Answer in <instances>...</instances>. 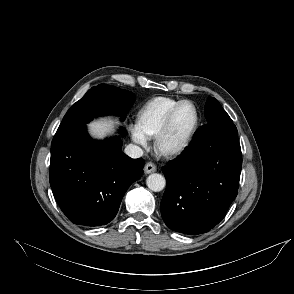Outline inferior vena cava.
<instances>
[{"mask_svg":"<svg viewBox=\"0 0 294 294\" xmlns=\"http://www.w3.org/2000/svg\"><path fill=\"white\" fill-rule=\"evenodd\" d=\"M124 152L131 158H140L143 155V150L134 144L127 145Z\"/></svg>","mask_w":294,"mask_h":294,"instance_id":"inferior-vena-cava-1","label":"inferior vena cava"}]
</instances>
